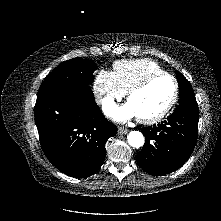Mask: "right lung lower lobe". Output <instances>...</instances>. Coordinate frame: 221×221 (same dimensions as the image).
Here are the masks:
<instances>
[{"instance_id": "obj_1", "label": "right lung lower lobe", "mask_w": 221, "mask_h": 221, "mask_svg": "<svg viewBox=\"0 0 221 221\" xmlns=\"http://www.w3.org/2000/svg\"><path fill=\"white\" fill-rule=\"evenodd\" d=\"M35 122L48 160L66 175H93L104 163L105 144L116 135L89 85L38 94Z\"/></svg>"}]
</instances>
